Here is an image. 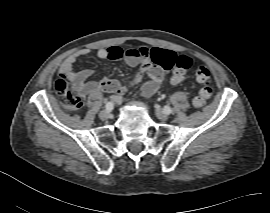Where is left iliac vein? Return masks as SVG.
I'll return each instance as SVG.
<instances>
[{
	"label": "left iliac vein",
	"mask_w": 270,
	"mask_h": 213,
	"mask_svg": "<svg viewBox=\"0 0 270 213\" xmlns=\"http://www.w3.org/2000/svg\"><path fill=\"white\" fill-rule=\"evenodd\" d=\"M155 114L157 118L162 121H166L168 119L167 115L158 106H155Z\"/></svg>",
	"instance_id": "4c4485c4"
}]
</instances>
